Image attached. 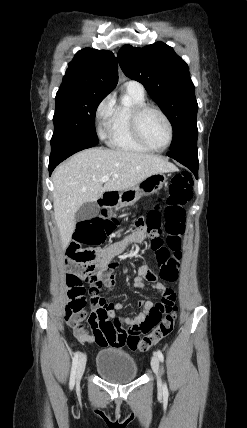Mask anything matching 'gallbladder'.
Listing matches in <instances>:
<instances>
[{"instance_id": "1", "label": "gallbladder", "mask_w": 247, "mask_h": 428, "mask_svg": "<svg viewBox=\"0 0 247 428\" xmlns=\"http://www.w3.org/2000/svg\"><path fill=\"white\" fill-rule=\"evenodd\" d=\"M99 213V206L96 202H86L84 203L75 214V219L77 222L89 220L94 218Z\"/></svg>"}]
</instances>
